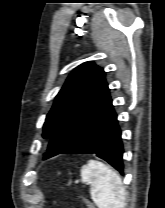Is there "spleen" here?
<instances>
[{"instance_id": "obj_1", "label": "spleen", "mask_w": 165, "mask_h": 208, "mask_svg": "<svg viewBox=\"0 0 165 208\" xmlns=\"http://www.w3.org/2000/svg\"><path fill=\"white\" fill-rule=\"evenodd\" d=\"M81 181L90 184L91 199L98 208H124L126 192L122 180L104 163L89 160L81 168Z\"/></svg>"}]
</instances>
